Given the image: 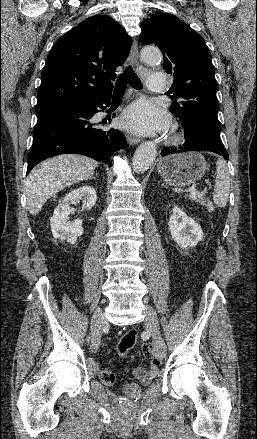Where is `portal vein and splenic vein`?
Masks as SVG:
<instances>
[{"label":"portal vein and splenic vein","instance_id":"18ae733b","mask_svg":"<svg viewBox=\"0 0 257 439\" xmlns=\"http://www.w3.org/2000/svg\"><path fill=\"white\" fill-rule=\"evenodd\" d=\"M189 193H190L191 195L196 194V189H195L194 187L189 188Z\"/></svg>","mask_w":257,"mask_h":439}]
</instances>
